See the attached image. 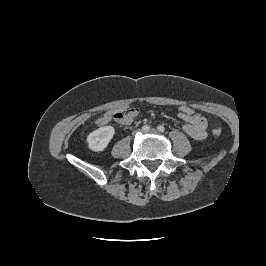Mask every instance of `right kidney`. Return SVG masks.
I'll return each instance as SVG.
<instances>
[{
    "mask_svg": "<svg viewBox=\"0 0 266 266\" xmlns=\"http://www.w3.org/2000/svg\"><path fill=\"white\" fill-rule=\"evenodd\" d=\"M115 130L112 126L100 127L87 136L88 146L95 152L103 151L113 138Z\"/></svg>",
    "mask_w": 266,
    "mask_h": 266,
    "instance_id": "1",
    "label": "right kidney"
}]
</instances>
